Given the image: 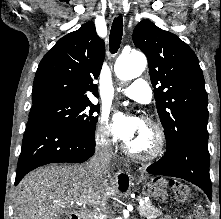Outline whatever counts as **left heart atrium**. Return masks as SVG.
<instances>
[{
  "instance_id": "39dd6f15",
  "label": "left heart atrium",
  "mask_w": 221,
  "mask_h": 219,
  "mask_svg": "<svg viewBox=\"0 0 221 219\" xmlns=\"http://www.w3.org/2000/svg\"><path fill=\"white\" fill-rule=\"evenodd\" d=\"M142 127L139 118L118 112L113 117L112 133L116 139L127 142L136 135Z\"/></svg>"
}]
</instances>
